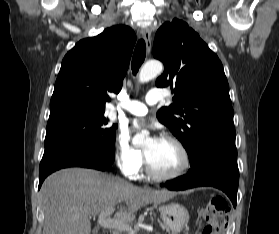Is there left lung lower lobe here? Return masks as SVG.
<instances>
[{"mask_svg":"<svg viewBox=\"0 0 279 234\" xmlns=\"http://www.w3.org/2000/svg\"><path fill=\"white\" fill-rule=\"evenodd\" d=\"M239 170L235 142H215L205 147L186 175L161 186L170 190H185L199 186H213L224 191L236 207Z\"/></svg>","mask_w":279,"mask_h":234,"instance_id":"0a47b994","label":"left lung lower lobe"}]
</instances>
